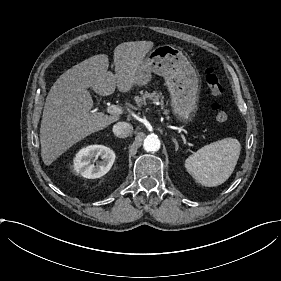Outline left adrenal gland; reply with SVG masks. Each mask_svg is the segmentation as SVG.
Wrapping results in <instances>:
<instances>
[{
  "label": "left adrenal gland",
  "mask_w": 281,
  "mask_h": 281,
  "mask_svg": "<svg viewBox=\"0 0 281 281\" xmlns=\"http://www.w3.org/2000/svg\"><path fill=\"white\" fill-rule=\"evenodd\" d=\"M172 140H173V142H174L175 145H176L175 152H178V150H179V142H178V140H177L176 138H174L173 136H172Z\"/></svg>",
  "instance_id": "a2214340"
}]
</instances>
